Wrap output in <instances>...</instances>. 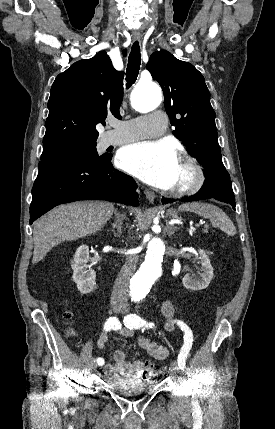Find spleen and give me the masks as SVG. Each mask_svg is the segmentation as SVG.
I'll use <instances>...</instances> for the list:
<instances>
[{"label": "spleen", "instance_id": "3e777b00", "mask_svg": "<svg viewBox=\"0 0 275 429\" xmlns=\"http://www.w3.org/2000/svg\"><path fill=\"white\" fill-rule=\"evenodd\" d=\"M179 211H188L209 219L214 225L218 226L223 232L230 236L236 234V228L231 219L215 205L193 202L183 204L178 208Z\"/></svg>", "mask_w": 275, "mask_h": 429}]
</instances>
